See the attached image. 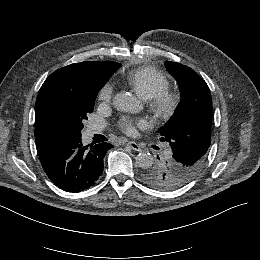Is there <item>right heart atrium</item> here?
Here are the masks:
<instances>
[{
    "label": "right heart atrium",
    "mask_w": 260,
    "mask_h": 260,
    "mask_svg": "<svg viewBox=\"0 0 260 260\" xmlns=\"http://www.w3.org/2000/svg\"><path fill=\"white\" fill-rule=\"evenodd\" d=\"M115 92V86L111 82H106L98 92V98L104 102H110Z\"/></svg>",
    "instance_id": "d8ad5b80"
}]
</instances>
